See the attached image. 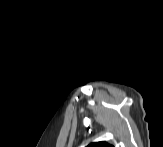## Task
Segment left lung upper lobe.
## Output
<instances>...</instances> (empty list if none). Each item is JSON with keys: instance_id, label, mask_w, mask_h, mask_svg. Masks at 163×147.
<instances>
[{"instance_id": "left-lung-upper-lobe-1", "label": "left lung upper lobe", "mask_w": 163, "mask_h": 147, "mask_svg": "<svg viewBox=\"0 0 163 147\" xmlns=\"http://www.w3.org/2000/svg\"><path fill=\"white\" fill-rule=\"evenodd\" d=\"M87 147H113L106 142H95L89 144Z\"/></svg>"}]
</instances>
